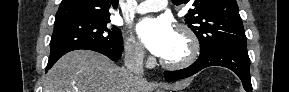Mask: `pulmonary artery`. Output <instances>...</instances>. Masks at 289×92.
Instances as JSON below:
<instances>
[{"instance_id": "1", "label": "pulmonary artery", "mask_w": 289, "mask_h": 92, "mask_svg": "<svg viewBox=\"0 0 289 92\" xmlns=\"http://www.w3.org/2000/svg\"><path fill=\"white\" fill-rule=\"evenodd\" d=\"M167 6L166 0H145L135 9L137 13H148L163 10Z\"/></svg>"}]
</instances>
